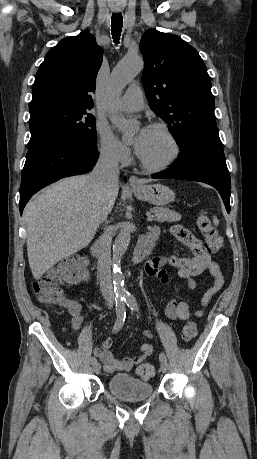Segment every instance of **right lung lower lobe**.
I'll use <instances>...</instances> for the list:
<instances>
[{"instance_id":"1","label":"right lung lower lobe","mask_w":257,"mask_h":459,"mask_svg":"<svg viewBox=\"0 0 257 459\" xmlns=\"http://www.w3.org/2000/svg\"><path fill=\"white\" fill-rule=\"evenodd\" d=\"M97 159L96 145L55 136L31 137L22 170L20 214L40 189L63 177L91 171Z\"/></svg>"}]
</instances>
